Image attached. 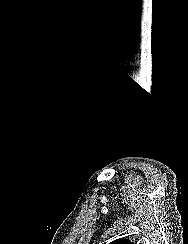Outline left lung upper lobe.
Returning a JSON list of instances; mask_svg holds the SVG:
<instances>
[{"label": "left lung upper lobe", "mask_w": 188, "mask_h": 244, "mask_svg": "<svg viewBox=\"0 0 188 244\" xmlns=\"http://www.w3.org/2000/svg\"><path fill=\"white\" fill-rule=\"evenodd\" d=\"M110 244H133V243L131 241H129V239L121 238V239H116V240L110 242Z\"/></svg>", "instance_id": "obj_1"}]
</instances>
